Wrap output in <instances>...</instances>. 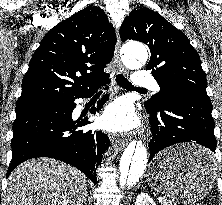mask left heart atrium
Returning <instances> with one entry per match:
<instances>
[{"instance_id": "obj_1", "label": "left heart atrium", "mask_w": 222, "mask_h": 205, "mask_svg": "<svg viewBox=\"0 0 222 205\" xmlns=\"http://www.w3.org/2000/svg\"><path fill=\"white\" fill-rule=\"evenodd\" d=\"M101 124L109 131L127 132L137 126L138 119L129 102L117 100L106 108L101 117Z\"/></svg>"}]
</instances>
